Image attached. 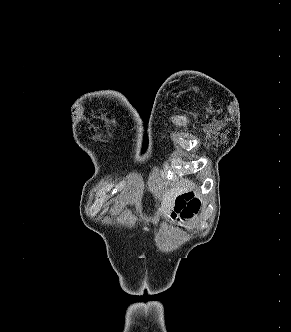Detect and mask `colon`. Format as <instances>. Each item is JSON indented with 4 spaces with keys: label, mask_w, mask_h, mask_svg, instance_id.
<instances>
[{
    "label": "colon",
    "mask_w": 291,
    "mask_h": 332,
    "mask_svg": "<svg viewBox=\"0 0 291 332\" xmlns=\"http://www.w3.org/2000/svg\"><path fill=\"white\" fill-rule=\"evenodd\" d=\"M199 201L186 194L181 195L176 200L174 216L186 217L191 211H198Z\"/></svg>",
    "instance_id": "obj_1"
}]
</instances>
